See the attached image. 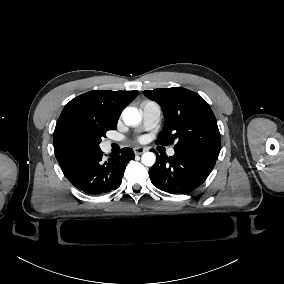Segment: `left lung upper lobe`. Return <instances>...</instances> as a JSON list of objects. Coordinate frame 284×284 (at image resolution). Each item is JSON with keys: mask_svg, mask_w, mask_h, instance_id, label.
I'll use <instances>...</instances> for the list:
<instances>
[{"mask_svg": "<svg viewBox=\"0 0 284 284\" xmlns=\"http://www.w3.org/2000/svg\"><path fill=\"white\" fill-rule=\"evenodd\" d=\"M143 93L164 112L166 120L156 141L158 144L170 145L175 141L174 150L198 152L217 160L221 149L217 121L200 95L182 87Z\"/></svg>", "mask_w": 284, "mask_h": 284, "instance_id": "1", "label": "left lung upper lobe"}]
</instances>
